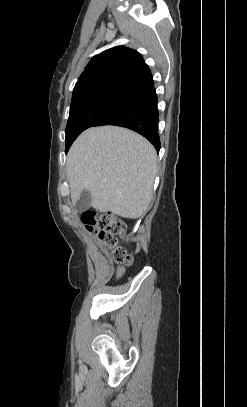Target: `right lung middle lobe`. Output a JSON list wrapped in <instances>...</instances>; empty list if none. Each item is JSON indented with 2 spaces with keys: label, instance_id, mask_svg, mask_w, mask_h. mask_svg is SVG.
Returning a JSON list of instances; mask_svg holds the SVG:
<instances>
[{
  "label": "right lung middle lobe",
  "instance_id": "1",
  "mask_svg": "<svg viewBox=\"0 0 247 407\" xmlns=\"http://www.w3.org/2000/svg\"><path fill=\"white\" fill-rule=\"evenodd\" d=\"M136 92V90L129 88L112 87L94 92L71 102L68 123L65 130V152L69 150L71 144L81 132L93 126L103 115L133 96Z\"/></svg>",
  "mask_w": 247,
  "mask_h": 407
}]
</instances>
